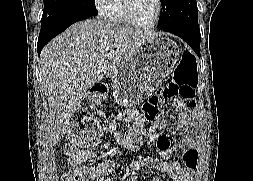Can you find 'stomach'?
<instances>
[{"label":"stomach","instance_id":"0dacf381","mask_svg":"<svg viewBox=\"0 0 253 181\" xmlns=\"http://www.w3.org/2000/svg\"><path fill=\"white\" fill-rule=\"evenodd\" d=\"M179 57L177 44L169 38L144 40L114 75L116 101L126 107L143 102L173 71Z\"/></svg>","mask_w":253,"mask_h":181}]
</instances>
